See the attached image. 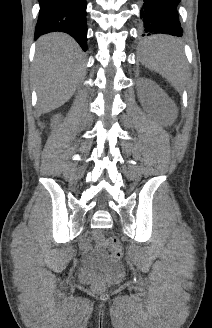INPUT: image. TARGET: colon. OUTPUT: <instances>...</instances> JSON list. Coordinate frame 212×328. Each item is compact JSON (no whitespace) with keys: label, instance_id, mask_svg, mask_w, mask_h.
I'll list each match as a JSON object with an SVG mask.
<instances>
[{"label":"colon","instance_id":"5ec220e1","mask_svg":"<svg viewBox=\"0 0 212 328\" xmlns=\"http://www.w3.org/2000/svg\"><path fill=\"white\" fill-rule=\"evenodd\" d=\"M96 241L100 245L107 246L111 251L113 261L120 262L123 258L122 247L116 237L104 238L100 235L96 236Z\"/></svg>","mask_w":212,"mask_h":328}]
</instances>
